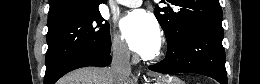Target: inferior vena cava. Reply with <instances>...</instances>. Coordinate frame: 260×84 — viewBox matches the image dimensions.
<instances>
[{"instance_id":"obj_1","label":"inferior vena cava","mask_w":260,"mask_h":84,"mask_svg":"<svg viewBox=\"0 0 260 84\" xmlns=\"http://www.w3.org/2000/svg\"><path fill=\"white\" fill-rule=\"evenodd\" d=\"M110 69L119 81H124L129 78L131 73V65L130 52L127 48H116L113 51Z\"/></svg>"}]
</instances>
